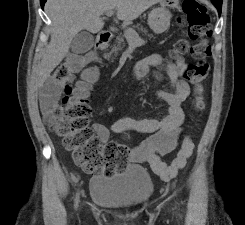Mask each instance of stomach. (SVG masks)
<instances>
[{
    "mask_svg": "<svg viewBox=\"0 0 245 225\" xmlns=\"http://www.w3.org/2000/svg\"><path fill=\"white\" fill-rule=\"evenodd\" d=\"M172 14L166 5L152 9L148 15V25L155 34H162L170 27Z\"/></svg>",
    "mask_w": 245,
    "mask_h": 225,
    "instance_id": "0dacf381",
    "label": "stomach"
}]
</instances>
